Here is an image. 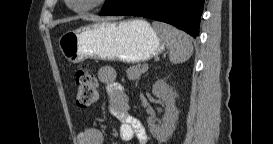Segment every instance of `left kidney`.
<instances>
[{"label": "left kidney", "instance_id": "1", "mask_svg": "<svg viewBox=\"0 0 273 144\" xmlns=\"http://www.w3.org/2000/svg\"><path fill=\"white\" fill-rule=\"evenodd\" d=\"M152 93L165 103V114L161 125L156 124L155 117H149L147 123L154 138L159 142L166 141L174 132L179 112L175 106L176 92L165 80H158L153 85Z\"/></svg>", "mask_w": 273, "mask_h": 144}]
</instances>
